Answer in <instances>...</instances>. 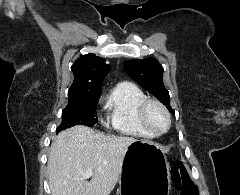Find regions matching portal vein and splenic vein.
<instances>
[{"label": "portal vein and splenic vein", "mask_w": 240, "mask_h": 195, "mask_svg": "<svg viewBox=\"0 0 240 195\" xmlns=\"http://www.w3.org/2000/svg\"><path fill=\"white\" fill-rule=\"evenodd\" d=\"M91 175H93V169H88V171L83 173V177H91Z\"/></svg>", "instance_id": "18ae733b"}]
</instances>
